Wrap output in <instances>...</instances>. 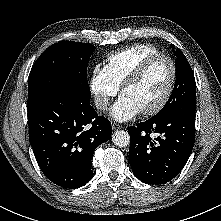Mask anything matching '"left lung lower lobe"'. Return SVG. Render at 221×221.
I'll return each mask as SVG.
<instances>
[{
    "label": "left lung lower lobe",
    "mask_w": 221,
    "mask_h": 221,
    "mask_svg": "<svg viewBox=\"0 0 221 221\" xmlns=\"http://www.w3.org/2000/svg\"><path fill=\"white\" fill-rule=\"evenodd\" d=\"M128 132L134 175L145 183L164 184L179 174L192 152L195 110L183 108L163 118L152 117L130 126Z\"/></svg>",
    "instance_id": "obj_1"
}]
</instances>
